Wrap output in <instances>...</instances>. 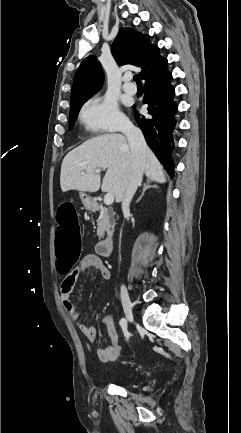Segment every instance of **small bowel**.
I'll return each instance as SVG.
<instances>
[{
	"mask_svg": "<svg viewBox=\"0 0 241 433\" xmlns=\"http://www.w3.org/2000/svg\"><path fill=\"white\" fill-rule=\"evenodd\" d=\"M89 268H94L104 280H108L110 278V271L101 257L94 253L88 254L81 260L79 265L72 270V272H67L65 275L61 284V301L67 314L77 324L85 339L90 343H93L96 340V329L94 326L87 325L82 321L81 316L71 298L72 291L78 278L85 270ZM101 323L106 328L111 344L106 347L98 348L97 356L101 362H112L118 356L119 335L114 319L111 315H104L101 318Z\"/></svg>",
	"mask_w": 241,
	"mask_h": 433,
	"instance_id": "obj_1",
	"label": "small bowel"
}]
</instances>
